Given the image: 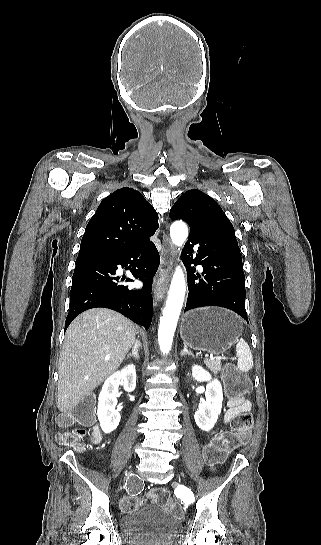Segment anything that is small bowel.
Instances as JSON below:
<instances>
[{"label":"small bowel","mask_w":321,"mask_h":545,"mask_svg":"<svg viewBox=\"0 0 321 545\" xmlns=\"http://www.w3.org/2000/svg\"><path fill=\"white\" fill-rule=\"evenodd\" d=\"M251 403L244 399L243 397L239 398H229L227 402V411L224 415V422H229L235 416L242 412L250 411ZM102 439V432L98 425L94 426L92 431V441L99 442Z\"/></svg>","instance_id":"c3829d8e"}]
</instances>
